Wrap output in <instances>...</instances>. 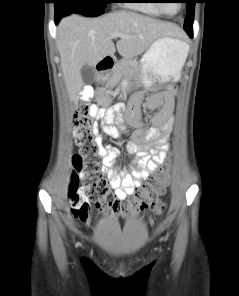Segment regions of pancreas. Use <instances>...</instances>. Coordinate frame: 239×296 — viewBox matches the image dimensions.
I'll list each match as a JSON object with an SVG mask.
<instances>
[{
    "label": "pancreas",
    "instance_id": "1",
    "mask_svg": "<svg viewBox=\"0 0 239 296\" xmlns=\"http://www.w3.org/2000/svg\"><path fill=\"white\" fill-rule=\"evenodd\" d=\"M139 74L140 71L137 61L132 59H122L112 68L110 80L106 88L97 89V97L107 102L109 98V89L114 87L123 76L137 77Z\"/></svg>",
    "mask_w": 239,
    "mask_h": 296
}]
</instances>
